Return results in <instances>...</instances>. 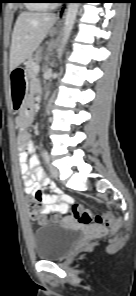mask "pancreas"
Here are the masks:
<instances>
[{
    "mask_svg": "<svg viewBox=\"0 0 136 296\" xmlns=\"http://www.w3.org/2000/svg\"><path fill=\"white\" fill-rule=\"evenodd\" d=\"M41 54H42V50L39 49L36 52L35 57L34 58H30L27 61V64H26V73H27L28 77H34V76H36V72L34 71V67H35V65H37L36 61H38L41 58Z\"/></svg>",
    "mask_w": 136,
    "mask_h": 296,
    "instance_id": "1",
    "label": "pancreas"
}]
</instances>
